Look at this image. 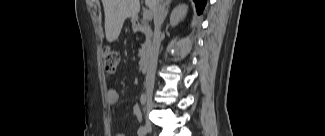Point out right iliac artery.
<instances>
[{
    "label": "right iliac artery",
    "mask_w": 325,
    "mask_h": 136,
    "mask_svg": "<svg viewBox=\"0 0 325 136\" xmlns=\"http://www.w3.org/2000/svg\"><path fill=\"white\" fill-rule=\"evenodd\" d=\"M146 134V129L145 127H140L139 130H138V135L139 136H144Z\"/></svg>",
    "instance_id": "82829eb1"
}]
</instances>
